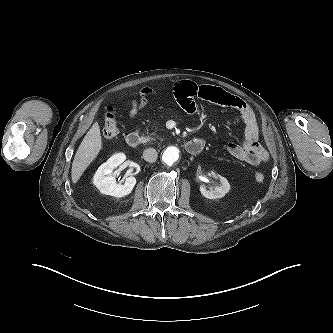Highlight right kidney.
<instances>
[{
    "instance_id": "right-kidney-1",
    "label": "right kidney",
    "mask_w": 333,
    "mask_h": 333,
    "mask_svg": "<svg viewBox=\"0 0 333 333\" xmlns=\"http://www.w3.org/2000/svg\"><path fill=\"white\" fill-rule=\"evenodd\" d=\"M125 159V154L118 153L113 155L98 168L93 177V183L101 193L117 198L131 193L136 184L135 177H128L125 183L121 185L116 183V172H113Z\"/></svg>"
}]
</instances>
